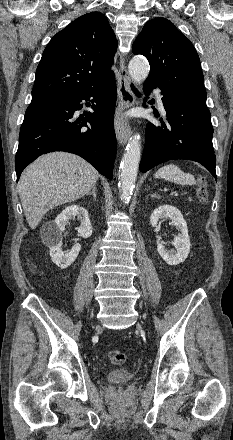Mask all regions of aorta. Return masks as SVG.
<instances>
[{"label":"aorta","mask_w":233,"mask_h":440,"mask_svg":"<svg viewBox=\"0 0 233 440\" xmlns=\"http://www.w3.org/2000/svg\"><path fill=\"white\" fill-rule=\"evenodd\" d=\"M149 63L143 56H135L128 65V71L135 83L143 82L149 75ZM141 159L140 136L134 135L126 146L120 164L119 189L121 198L129 201L133 194Z\"/></svg>","instance_id":"aorta-1"}]
</instances>
